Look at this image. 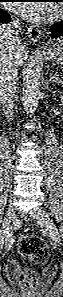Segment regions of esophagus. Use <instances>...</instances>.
<instances>
[{"mask_svg":"<svg viewBox=\"0 0 63 297\" xmlns=\"http://www.w3.org/2000/svg\"><path fill=\"white\" fill-rule=\"evenodd\" d=\"M27 34H28L29 40L32 43H36L40 38L41 32L37 27L29 26Z\"/></svg>","mask_w":63,"mask_h":297,"instance_id":"34e87169","label":"esophagus"}]
</instances>
